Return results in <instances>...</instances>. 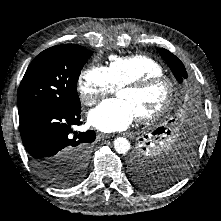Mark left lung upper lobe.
<instances>
[{"label": "left lung upper lobe", "instance_id": "5c2ea615", "mask_svg": "<svg viewBox=\"0 0 221 221\" xmlns=\"http://www.w3.org/2000/svg\"><path fill=\"white\" fill-rule=\"evenodd\" d=\"M160 54L169 65L178 82L187 78V72L183 63L171 52L161 48ZM154 134H156L154 132ZM144 151H136L130 159L131 177L139 185L161 189L168 186L169 182L175 180L176 172L186 165L175 155L164 157H152Z\"/></svg>", "mask_w": 221, "mask_h": 221}]
</instances>
